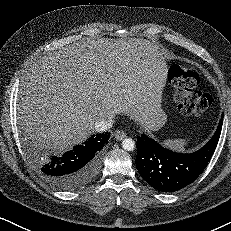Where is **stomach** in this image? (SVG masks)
Here are the masks:
<instances>
[{
    "label": "stomach",
    "instance_id": "0dacf381",
    "mask_svg": "<svg viewBox=\"0 0 231 231\" xmlns=\"http://www.w3.org/2000/svg\"><path fill=\"white\" fill-rule=\"evenodd\" d=\"M163 124H164V121H159V122H157V123L155 124V129H154V130L159 129Z\"/></svg>",
    "mask_w": 231,
    "mask_h": 231
}]
</instances>
